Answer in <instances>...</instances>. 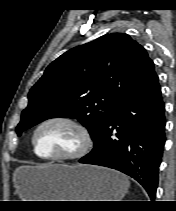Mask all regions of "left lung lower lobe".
<instances>
[{
	"label": "left lung lower lobe",
	"mask_w": 176,
	"mask_h": 211,
	"mask_svg": "<svg viewBox=\"0 0 176 211\" xmlns=\"http://www.w3.org/2000/svg\"><path fill=\"white\" fill-rule=\"evenodd\" d=\"M164 111L157 81L116 108L93 150L79 162L133 177L153 200L165 143Z\"/></svg>",
	"instance_id": "1"
}]
</instances>
